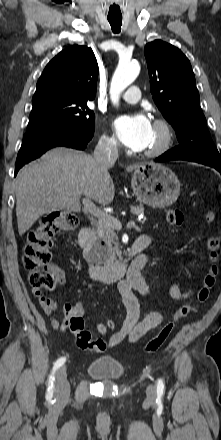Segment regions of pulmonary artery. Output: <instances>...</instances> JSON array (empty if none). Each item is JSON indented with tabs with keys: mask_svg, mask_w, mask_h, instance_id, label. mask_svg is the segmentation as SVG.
<instances>
[{
	"mask_svg": "<svg viewBox=\"0 0 221 440\" xmlns=\"http://www.w3.org/2000/svg\"><path fill=\"white\" fill-rule=\"evenodd\" d=\"M121 97L126 102L136 103L140 99V89L137 86H132Z\"/></svg>",
	"mask_w": 221,
	"mask_h": 440,
	"instance_id": "obj_1",
	"label": "pulmonary artery"
}]
</instances>
